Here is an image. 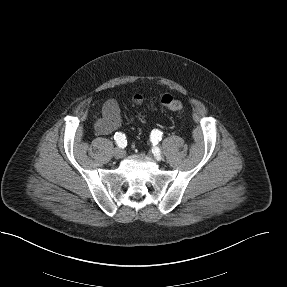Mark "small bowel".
<instances>
[{"mask_svg": "<svg viewBox=\"0 0 287 287\" xmlns=\"http://www.w3.org/2000/svg\"><path fill=\"white\" fill-rule=\"evenodd\" d=\"M121 124L120 107L116 100L105 102L101 116L95 121V131L99 135H108L116 131Z\"/></svg>", "mask_w": 287, "mask_h": 287, "instance_id": "obj_1", "label": "small bowel"}]
</instances>
